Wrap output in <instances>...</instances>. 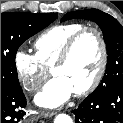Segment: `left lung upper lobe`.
<instances>
[{"label":"left lung upper lobe","mask_w":123,"mask_h":123,"mask_svg":"<svg viewBox=\"0 0 123 123\" xmlns=\"http://www.w3.org/2000/svg\"><path fill=\"white\" fill-rule=\"evenodd\" d=\"M72 18L94 21L103 31L108 62L102 82L94 91H108L123 86V27L111 15L97 9L69 12L62 18V21Z\"/></svg>","instance_id":"1"}]
</instances>
